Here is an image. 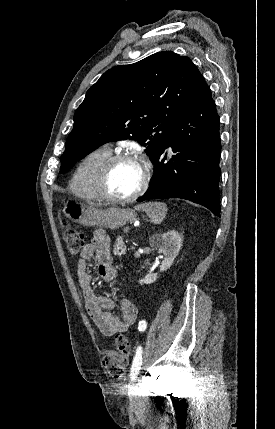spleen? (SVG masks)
<instances>
[{"label":"spleen","mask_w":275,"mask_h":429,"mask_svg":"<svg viewBox=\"0 0 275 429\" xmlns=\"http://www.w3.org/2000/svg\"><path fill=\"white\" fill-rule=\"evenodd\" d=\"M135 209L145 212L154 224H160L166 216L167 205L162 202H148L137 205Z\"/></svg>","instance_id":"3e777b00"}]
</instances>
